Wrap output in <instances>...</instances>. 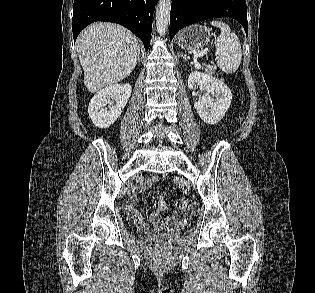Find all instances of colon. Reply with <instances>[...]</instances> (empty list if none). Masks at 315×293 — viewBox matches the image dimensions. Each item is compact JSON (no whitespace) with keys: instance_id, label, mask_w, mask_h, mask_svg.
<instances>
[{"instance_id":"1","label":"colon","mask_w":315,"mask_h":293,"mask_svg":"<svg viewBox=\"0 0 315 293\" xmlns=\"http://www.w3.org/2000/svg\"><path fill=\"white\" fill-rule=\"evenodd\" d=\"M177 211H187V209L189 208V204L186 200H178L177 201Z\"/></svg>"}]
</instances>
